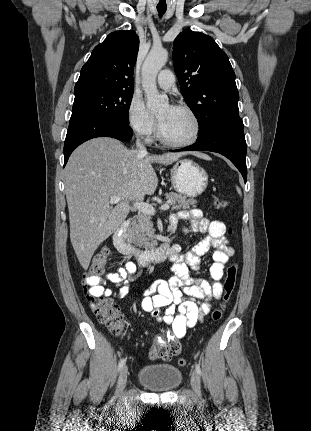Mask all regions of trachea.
<instances>
[{
    "mask_svg": "<svg viewBox=\"0 0 311 431\" xmlns=\"http://www.w3.org/2000/svg\"><path fill=\"white\" fill-rule=\"evenodd\" d=\"M157 10H158L159 16L161 17L166 12V7L165 8L157 7Z\"/></svg>",
    "mask_w": 311,
    "mask_h": 431,
    "instance_id": "1",
    "label": "trachea"
}]
</instances>
